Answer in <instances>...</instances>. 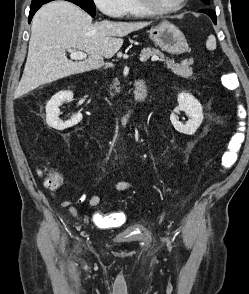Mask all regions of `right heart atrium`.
<instances>
[{
	"label": "right heart atrium",
	"instance_id": "d8ad5b80",
	"mask_svg": "<svg viewBox=\"0 0 249 294\" xmlns=\"http://www.w3.org/2000/svg\"><path fill=\"white\" fill-rule=\"evenodd\" d=\"M97 8L105 15L119 17L122 13L123 0H93Z\"/></svg>",
	"mask_w": 249,
	"mask_h": 294
}]
</instances>
